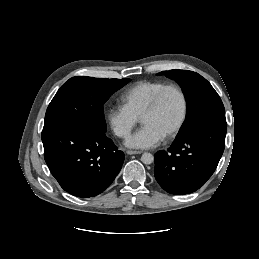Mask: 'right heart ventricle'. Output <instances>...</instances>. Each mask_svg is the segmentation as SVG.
<instances>
[{"mask_svg": "<svg viewBox=\"0 0 259 259\" xmlns=\"http://www.w3.org/2000/svg\"><path fill=\"white\" fill-rule=\"evenodd\" d=\"M166 85L168 84L164 81L138 82L123 94V106L135 117L140 118L155 95Z\"/></svg>", "mask_w": 259, "mask_h": 259, "instance_id": "1", "label": "right heart ventricle"}]
</instances>
